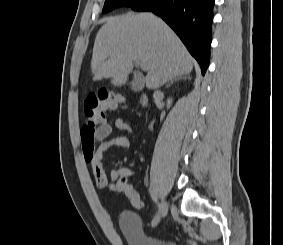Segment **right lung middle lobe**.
Masks as SVG:
<instances>
[{
  "mask_svg": "<svg viewBox=\"0 0 283 245\" xmlns=\"http://www.w3.org/2000/svg\"><path fill=\"white\" fill-rule=\"evenodd\" d=\"M142 0H105L103 13L109 12L117 7L127 6L132 7Z\"/></svg>",
  "mask_w": 283,
  "mask_h": 245,
  "instance_id": "dd1d6c3e",
  "label": "right lung middle lobe"
}]
</instances>
